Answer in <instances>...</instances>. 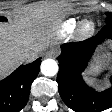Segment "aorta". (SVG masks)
<instances>
[{
    "mask_svg": "<svg viewBox=\"0 0 112 112\" xmlns=\"http://www.w3.org/2000/svg\"><path fill=\"white\" fill-rule=\"evenodd\" d=\"M40 69L44 76L52 77L58 72V64L54 59H45L42 61Z\"/></svg>",
    "mask_w": 112,
    "mask_h": 112,
    "instance_id": "aorta-1",
    "label": "aorta"
}]
</instances>
